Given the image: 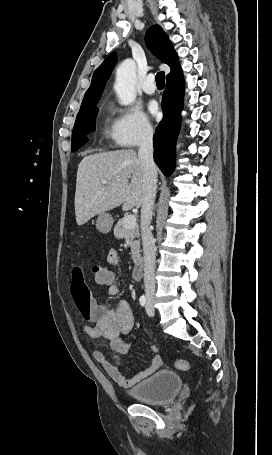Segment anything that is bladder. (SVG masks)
I'll use <instances>...</instances> for the list:
<instances>
[{"label": "bladder", "instance_id": "1", "mask_svg": "<svg viewBox=\"0 0 272 455\" xmlns=\"http://www.w3.org/2000/svg\"><path fill=\"white\" fill-rule=\"evenodd\" d=\"M182 387L181 377L172 370H160L130 389L132 398L139 402L159 405L173 400Z\"/></svg>", "mask_w": 272, "mask_h": 455}]
</instances>
